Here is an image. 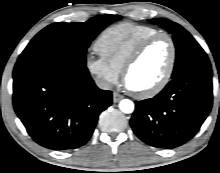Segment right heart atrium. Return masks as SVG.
Listing matches in <instances>:
<instances>
[{
  "instance_id": "1",
  "label": "right heart atrium",
  "mask_w": 220,
  "mask_h": 173,
  "mask_svg": "<svg viewBox=\"0 0 220 173\" xmlns=\"http://www.w3.org/2000/svg\"><path fill=\"white\" fill-rule=\"evenodd\" d=\"M86 67L104 88H109L118 82L120 72L102 57L88 55L86 58Z\"/></svg>"
}]
</instances>
